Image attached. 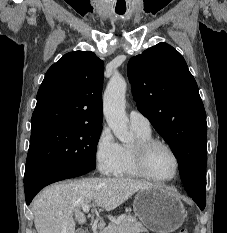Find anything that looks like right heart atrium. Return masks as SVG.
Masks as SVG:
<instances>
[{"label":"right heart atrium","mask_w":227,"mask_h":233,"mask_svg":"<svg viewBox=\"0 0 227 233\" xmlns=\"http://www.w3.org/2000/svg\"><path fill=\"white\" fill-rule=\"evenodd\" d=\"M94 158L102 174H117L122 159L121 145L107 126H103L97 136L94 145Z\"/></svg>","instance_id":"1"}]
</instances>
